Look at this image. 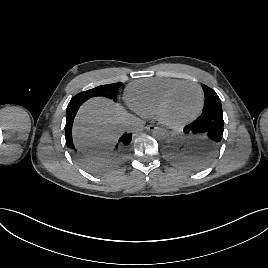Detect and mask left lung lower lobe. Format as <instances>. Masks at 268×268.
I'll use <instances>...</instances> for the list:
<instances>
[{"instance_id":"obj_1","label":"left lung lower lobe","mask_w":268,"mask_h":268,"mask_svg":"<svg viewBox=\"0 0 268 268\" xmlns=\"http://www.w3.org/2000/svg\"><path fill=\"white\" fill-rule=\"evenodd\" d=\"M223 112L202 113L166 147L168 163L178 169H198L217 157L223 137Z\"/></svg>"}]
</instances>
